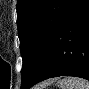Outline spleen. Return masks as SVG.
Here are the masks:
<instances>
[{
    "label": "spleen",
    "mask_w": 89,
    "mask_h": 89,
    "mask_svg": "<svg viewBox=\"0 0 89 89\" xmlns=\"http://www.w3.org/2000/svg\"><path fill=\"white\" fill-rule=\"evenodd\" d=\"M60 89H89V83L79 77H66L59 81Z\"/></svg>",
    "instance_id": "3e777b00"
}]
</instances>
